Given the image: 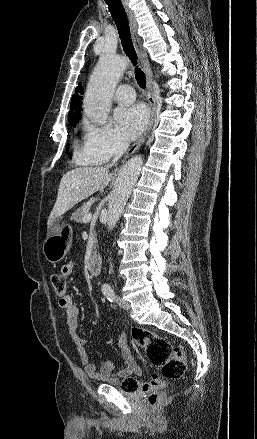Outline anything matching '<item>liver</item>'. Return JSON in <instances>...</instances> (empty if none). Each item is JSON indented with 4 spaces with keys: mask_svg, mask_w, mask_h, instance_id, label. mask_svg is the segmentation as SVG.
Instances as JSON below:
<instances>
[{
    "mask_svg": "<svg viewBox=\"0 0 257 439\" xmlns=\"http://www.w3.org/2000/svg\"><path fill=\"white\" fill-rule=\"evenodd\" d=\"M111 177L106 167H79L65 173L59 185L57 200L48 217V226L77 203L97 191H103Z\"/></svg>",
    "mask_w": 257,
    "mask_h": 439,
    "instance_id": "obj_1",
    "label": "liver"
}]
</instances>
